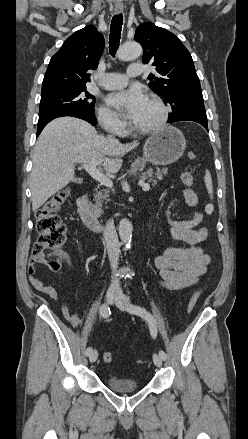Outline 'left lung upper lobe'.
Wrapping results in <instances>:
<instances>
[{"mask_svg": "<svg viewBox=\"0 0 248 439\" xmlns=\"http://www.w3.org/2000/svg\"><path fill=\"white\" fill-rule=\"evenodd\" d=\"M135 40L143 47V63L156 66L149 86L172 107L168 119L182 114L206 115L199 78L191 54L171 32L153 23L141 24Z\"/></svg>", "mask_w": 248, "mask_h": 439, "instance_id": "left-lung-upper-lobe-1", "label": "left lung upper lobe"}]
</instances>
